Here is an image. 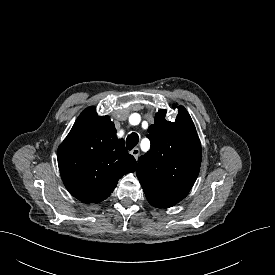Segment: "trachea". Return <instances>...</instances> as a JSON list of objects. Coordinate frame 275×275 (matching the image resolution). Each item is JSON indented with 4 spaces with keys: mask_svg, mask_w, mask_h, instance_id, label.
<instances>
[{
    "mask_svg": "<svg viewBox=\"0 0 275 275\" xmlns=\"http://www.w3.org/2000/svg\"><path fill=\"white\" fill-rule=\"evenodd\" d=\"M139 141V136L137 133H131L130 135L127 136L126 138V147L128 150H132Z\"/></svg>",
    "mask_w": 275,
    "mask_h": 275,
    "instance_id": "trachea-1",
    "label": "trachea"
}]
</instances>
